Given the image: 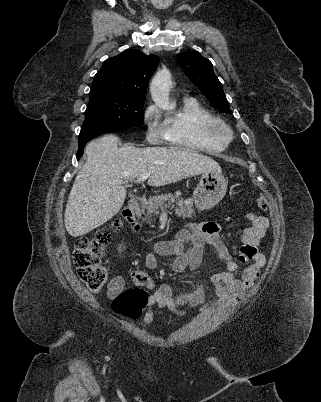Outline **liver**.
<instances>
[{
    "label": "liver",
    "instance_id": "obj_1",
    "mask_svg": "<svg viewBox=\"0 0 321 402\" xmlns=\"http://www.w3.org/2000/svg\"><path fill=\"white\" fill-rule=\"evenodd\" d=\"M118 137L105 135L86 147L87 161L78 172L64 214L67 232L85 235L114 217L127 191L114 180L149 172V186H164L208 171L222 172L212 158L180 147H118Z\"/></svg>",
    "mask_w": 321,
    "mask_h": 402
}]
</instances>
